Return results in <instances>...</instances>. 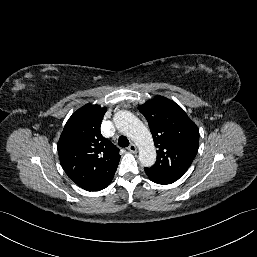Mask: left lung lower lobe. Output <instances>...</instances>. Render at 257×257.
<instances>
[{"label":"left lung lower lobe","mask_w":257,"mask_h":257,"mask_svg":"<svg viewBox=\"0 0 257 257\" xmlns=\"http://www.w3.org/2000/svg\"><path fill=\"white\" fill-rule=\"evenodd\" d=\"M146 174H147V176H148L153 182H155V183L164 184V185L173 183V182H171V181L162 179V178L157 177V176H154V175H152V174H149V173H146Z\"/></svg>","instance_id":"1"}]
</instances>
